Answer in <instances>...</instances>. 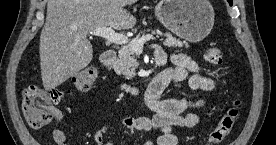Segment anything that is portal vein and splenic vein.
<instances>
[{
  "instance_id": "18ae733b",
  "label": "portal vein and splenic vein",
  "mask_w": 276,
  "mask_h": 145,
  "mask_svg": "<svg viewBox=\"0 0 276 145\" xmlns=\"http://www.w3.org/2000/svg\"><path fill=\"white\" fill-rule=\"evenodd\" d=\"M91 35L99 36L107 39L110 43L117 45H128L135 51H141L143 45L150 40H155L153 35H145L139 39H133L129 41L128 37L123 34L116 33L111 27L96 28L90 32Z\"/></svg>"
}]
</instances>
